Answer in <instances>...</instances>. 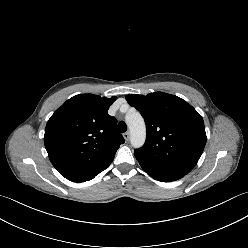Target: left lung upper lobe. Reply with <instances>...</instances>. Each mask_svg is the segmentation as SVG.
<instances>
[{"instance_id":"obj_1","label":"left lung upper lobe","mask_w":248,"mask_h":248,"mask_svg":"<svg viewBox=\"0 0 248 248\" xmlns=\"http://www.w3.org/2000/svg\"><path fill=\"white\" fill-rule=\"evenodd\" d=\"M146 123L145 144L135 149L140 165L188 174L197 164L206 144L202 117L183 99L163 92L127 95Z\"/></svg>"}]
</instances>
